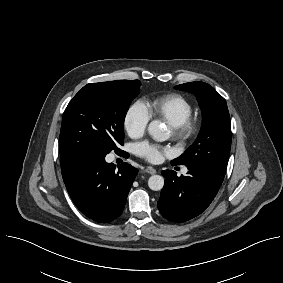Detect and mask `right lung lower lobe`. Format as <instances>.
Returning <instances> with one entry per match:
<instances>
[{
  "label": "right lung lower lobe",
  "instance_id": "obj_1",
  "mask_svg": "<svg viewBox=\"0 0 283 283\" xmlns=\"http://www.w3.org/2000/svg\"><path fill=\"white\" fill-rule=\"evenodd\" d=\"M121 155L128 154L121 151ZM106 154L86 152L62 167L67 191L77 208L90 219L105 223L119 217L138 170L124 162L116 168Z\"/></svg>",
  "mask_w": 283,
  "mask_h": 283
}]
</instances>
